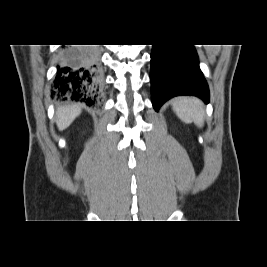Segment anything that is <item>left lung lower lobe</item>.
Listing matches in <instances>:
<instances>
[{"label":"left lung lower lobe","instance_id":"0a47b994","mask_svg":"<svg viewBox=\"0 0 267 267\" xmlns=\"http://www.w3.org/2000/svg\"><path fill=\"white\" fill-rule=\"evenodd\" d=\"M150 80L156 111L168 99L180 95L209 102V88L193 45H153Z\"/></svg>","mask_w":267,"mask_h":267}]
</instances>
